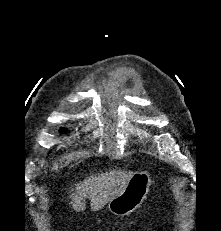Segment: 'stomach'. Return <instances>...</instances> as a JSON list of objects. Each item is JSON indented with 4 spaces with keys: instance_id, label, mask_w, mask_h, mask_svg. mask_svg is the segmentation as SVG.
I'll return each instance as SVG.
<instances>
[{
    "instance_id": "obj_1",
    "label": "stomach",
    "mask_w": 221,
    "mask_h": 231,
    "mask_svg": "<svg viewBox=\"0 0 221 231\" xmlns=\"http://www.w3.org/2000/svg\"><path fill=\"white\" fill-rule=\"evenodd\" d=\"M151 183L148 172H135L123 192L108 202L109 211L117 216L132 213L146 199Z\"/></svg>"
}]
</instances>
